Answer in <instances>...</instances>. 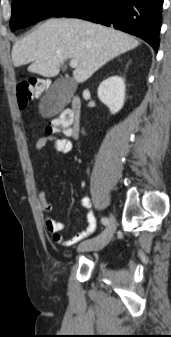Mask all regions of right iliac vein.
<instances>
[{
	"instance_id": "obj_1",
	"label": "right iliac vein",
	"mask_w": 171,
	"mask_h": 337,
	"mask_svg": "<svg viewBox=\"0 0 171 337\" xmlns=\"http://www.w3.org/2000/svg\"><path fill=\"white\" fill-rule=\"evenodd\" d=\"M116 229V220L113 215L110 216V222L106 229L97 237L83 241L79 247V252L98 251L104 248L112 239Z\"/></svg>"
}]
</instances>
